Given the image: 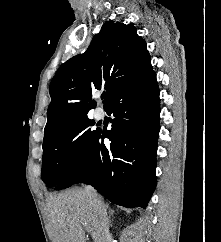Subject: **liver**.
<instances>
[{"instance_id": "6515ba94", "label": "liver", "mask_w": 221, "mask_h": 242, "mask_svg": "<svg viewBox=\"0 0 221 242\" xmlns=\"http://www.w3.org/2000/svg\"><path fill=\"white\" fill-rule=\"evenodd\" d=\"M47 211L48 233L53 242H86L84 228L97 241V214L85 189L75 188L50 196Z\"/></svg>"}]
</instances>
